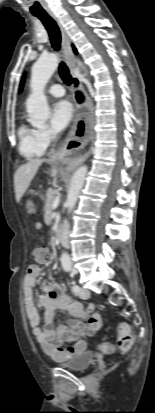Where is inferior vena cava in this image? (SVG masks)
Wrapping results in <instances>:
<instances>
[{"label": "inferior vena cava", "instance_id": "obj_1", "mask_svg": "<svg viewBox=\"0 0 155 413\" xmlns=\"http://www.w3.org/2000/svg\"><path fill=\"white\" fill-rule=\"evenodd\" d=\"M69 223L65 220L62 225L61 243L63 246H68Z\"/></svg>", "mask_w": 155, "mask_h": 413}]
</instances>
